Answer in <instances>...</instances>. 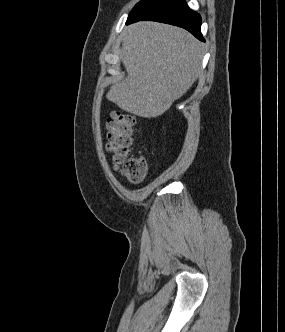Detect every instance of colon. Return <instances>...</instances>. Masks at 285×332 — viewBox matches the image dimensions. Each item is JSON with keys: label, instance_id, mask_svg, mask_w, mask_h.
I'll list each match as a JSON object with an SVG mask.
<instances>
[{"label": "colon", "instance_id": "obj_1", "mask_svg": "<svg viewBox=\"0 0 285 332\" xmlns=\"http://www.w3.org/2000/svg\"><path fill=\"white\" fill-rule=\"evenodd\" d=\"M135 117L127 112L114 111L107 121V151L115 167L131 183L141 182L147 172L143 157L131 156L132 132Z\"/></svg>", "mask_w": 285, "mask_h": 332}]
</instances>
